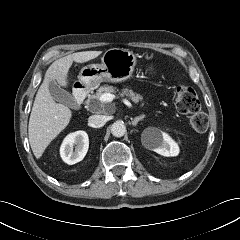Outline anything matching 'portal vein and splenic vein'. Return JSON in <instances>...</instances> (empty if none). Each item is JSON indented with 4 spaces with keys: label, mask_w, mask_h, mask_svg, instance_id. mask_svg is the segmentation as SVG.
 Masks as SVG:
<instances>
[{
    "label": "portal vein and splenic vein",
    "mask_w": 240,
    "mask_h": 240,
    "mask_svg": "<svg viewBox=\"0 0 240 240\" xmlns=\"http://www.w3.org/2000/svg\"><path fill=\"white\" fill-rule=\"evenodd\" d=\"M115 98V96L113 94L110 93H104L100 96L99 101L101 103H110L112 102V100ZM124 103L128 106V107H132V104L128 101V100H124Z\"/></svg>",
    "instance_id": "portal-vein-and-splenic-vein-1"
}]
</instances>
